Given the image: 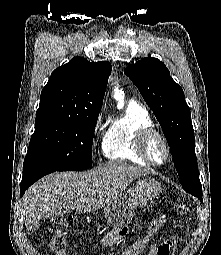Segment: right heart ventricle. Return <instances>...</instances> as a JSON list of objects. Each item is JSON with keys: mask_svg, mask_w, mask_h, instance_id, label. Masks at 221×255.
I'll return each instance as SVG.
<instances>
[{"mask_svg": "<svg viewBox=\"0 0 221 255\" xmlns=\"http://www.w3.org/2000/svg\"><path fill=\"white\" fill-rule=\"evenodd\" d=\"M148 110L132 101L126 109L111 119L102 141L103 155L113 161H125L138 166L149 165L138 154L135 147L136 135L145 128H152Z\"/></svg>", "mask_w": 221, "mask_h": 255, "instance_id": "right-heart-ventricle-1", "label": "right heart ventricle"}]
</instances>
